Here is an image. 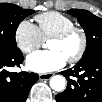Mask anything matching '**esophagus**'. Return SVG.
I'll return each instance as SVG.
<instances>
[{
	"label": "esophagus",
	"mask_w": 102,
	"mask_h": 102,
	"mask_svg": "<svg viewBox=\"0 0 102 102\" xmlns=\"http://www.w3.org/2000/svg\"><path fill=\"white\" fill-rule=\"evenodd\" d=\"M52 76H53L52 73H41L39 75V79L46 81V80H49Z\"/></svg>",
	"instance_id": "esophagus-1"
}]
</instances>
